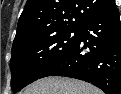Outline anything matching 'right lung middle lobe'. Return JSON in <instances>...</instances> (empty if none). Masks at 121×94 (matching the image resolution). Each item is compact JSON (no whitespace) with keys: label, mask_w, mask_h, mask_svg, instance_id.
<instances>
[{"label":"right lung middle lobe","mask_w":121,"mask_h":94,"mask_svg":"<svg viewBox=\"0 0 121 94\" xmlns=\"http://www.w3.org/2000/svg\"><path fill=\"white\" fill-rule=\"evenodd\" d=\"M77 39L78 29H65L49 34L33 32L13 45L10 60L12 90L18 92L39 79L74 47Z\"/></svg>","instance_id":"obj_1"}]
</instances>
